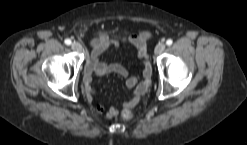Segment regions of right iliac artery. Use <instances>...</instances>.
<instances>
[{
    "mask_svg": "<svg viewBox=\"0 0 247 145\" xmlns=\"http://www.w3.org/2000/svg\"><path fill=\"white\" fill-rule=\"evenodd\" d=\"M64 42H65L66 45H71V43H72L70 39H65Z\"/></svg>",
    "mask_w": 247,
    "mask_h": 145,
    "instance_id": "right-iliac-artery-1",
    "label": "right iliac artery"
}]
</instances>
